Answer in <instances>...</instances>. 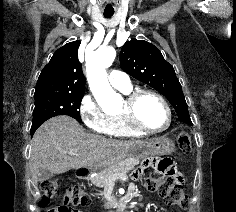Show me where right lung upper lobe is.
I'll list each match as a JSON object with an SVG mask.
<instances>
[{
    "instance_id": "obj_1",
    "label": "right lung upper lobe",
    "mask_w": 236,
    "mask_h": 212,
    "mask_svg": "<svg viewBox=\"0 0 236 212\" xmlns=\"http://www.w3.org/2000/svg\"><path fill=\"white\" fill-rule=\"evenodd\" d=\"M80 41L59 48L38 78L34 96L45 94H77L85 91V77L78 60Z\"/></svg>"
}]
</instances>
